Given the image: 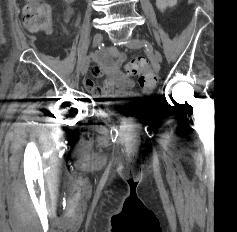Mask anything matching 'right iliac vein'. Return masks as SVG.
I'll list each match as a JSON object with an SVG mask.
<instances>
[{
  "mask_svg": "<svg viewBox=\"0 0 237 232\" xmlns=\"http://www.w3.org/2000/svg\"><path fill=\"white\" fill-rule=\"evenodd\" d=\"M102 40H103V35H102L101 33H96V34L94 35V38H93V45H94V46L99 45V44L102 42ZM89 64H90V57L88 56V57L84 60V62H83V64H82V67H81V75H82V76L87 73L88 68H89Z\"/></svg>",
  "mask_w": 237,
  "mask_h": 232,
  "instance_id": "63e3f726",
  "label": "right iliac vein"
}]
</instances>
